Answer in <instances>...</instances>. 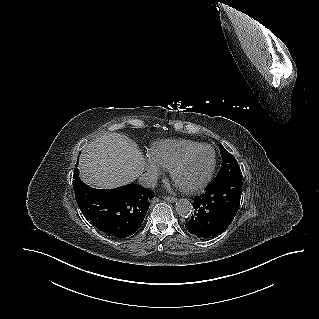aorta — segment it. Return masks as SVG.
Returning a JSON list of instances; mask_svg holds the SVG:
<instances>
[{"label": "aorta", "instance_id": "obj_1", "mask_svg": "<svg viewBox=\"0 0 319 319\" xmlns=\"http://www.w3.org/2000/svg\"><path fill=\"white\" fill-rule=\"evenodd\" d=\"M176 211L182 217H189L193 211V206L189 200L180 199L176 203Z\"/></svg>", "mask_w": 319, "mask_h": 319}]
</instances>
